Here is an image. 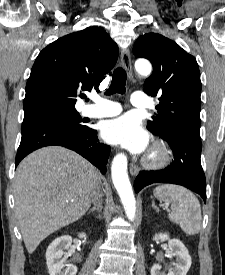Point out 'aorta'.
I'll use <instances>...</instances> for the list:
<instances>
[{"instance_id":"762f6f07","label":"aorta","mask_w":225,"mask_h":275,"mask_svg":"<svg viewBox=\"0 0 225 275\" xmlns=\"http://www.w3.org/2000/svg\"><path fill=\"white\" fill-rule=\"evenodd\" d=\"M135 70L139 75L147 76L151 73L152 67L148 61H137ZM127 164V157L122 153L117 154L112 161L111 175L127 218L133 221L136 213V200L128 177Z\"/></svg>"}]
</instances>
